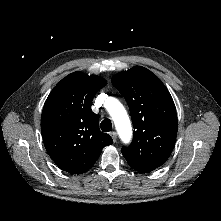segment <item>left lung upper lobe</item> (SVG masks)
<instances>
[{"mask_svg":"<svg viewBox=\"0 0 221 221\" xmlns=\"http://www.w3.org/2000/svg\"><path fill=\"white\" fill-rule=\"evenodd\" d=\"M111 82L127 101L134 128L133 141L122 154L133 169L151 172L169 158L175 145L173 99L161 80L141 66L116 74Z\"/></svg>","mask_w":221,"mask_h":221,"instance_id":"1","label":"left lung upper lobe"}]
</instances>
